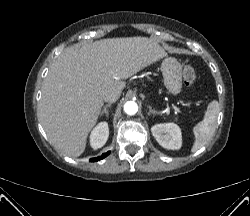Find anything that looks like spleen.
Masks as SVG:
<instances>
[{
  "label": "spleen",
  "mask_w": 250,
  "mask_h": 216,
  "mask_svg": "<svg viewBox=\"0 0 250 216\" xmlns=\"http://www.w3.org/2000/svg\"><path fill=\"white\" fill-rule=\"evenodd\" d=\"M219 110L218 101H211L207 106L203 120L193 128L195 137V142L191 149L193 153L202 148L214 134Z\"/></svg>",
  "instance_id": "spleen-1"
}]
</instances>
